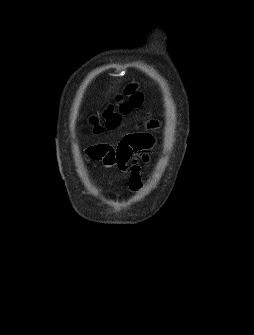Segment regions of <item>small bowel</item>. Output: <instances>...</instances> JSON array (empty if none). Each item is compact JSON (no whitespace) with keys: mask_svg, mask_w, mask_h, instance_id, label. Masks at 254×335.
Masks as SVG:
<instances>
[{"mask_svg":"<svg viewBox=\"0 0 254 335\" xmlns=\"http://www.w3.org/2000/svg\"><path fill=\"white\" fill-rule=\"evenodd\" d=\"M155 144L154 137L148 133H134L126 135L117 148L109 145H95L88 149L89 156L94 160H101L105 167H119L131 175L130 187L136 190L140 187V160L147 157L142 154Z\"/></svg>","mask_w":254,"mask_h":335,"instance_id":"c3829d8e","label":"small bowel"}]
</instances>
